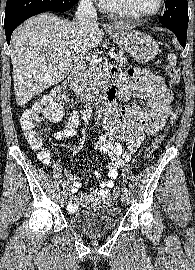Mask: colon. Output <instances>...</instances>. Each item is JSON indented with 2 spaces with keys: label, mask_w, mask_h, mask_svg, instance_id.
Masks as SVG:
<instances>
[{
  "label": "colon",
  "mask_w": 195,
  "mask_h": 270,
  "mask_svg": "<svg viewBox=\"0 0 195 270\" xmlns=\"http://www.w3.org/2000/svg\"><path fill=\"white\" fill-rule=\"evenodd\" d=\"M167 75H168L170 82L172 84H178L180 82L181 75H180V71L178 70V68L172 67V66L168 67L167 68ZM68 89H69L68 86L67 87H59V88L55 89L52 92V94L50 95V97L43 103V105H46L49 102H53V101L65 100L66 96H67ZM40 107H41V105L25 111L24 114L22 115V118H21L22 130L24 131L29 143L35 148H40L42 145V137L40 135V131L38 128ZM180 114H181V107H180V105H178L170 117L169 124L170 125L176 124V122L179 120ZM163 138H164L163 134H161L155 138L152 145L145 152L146 159L151 157L154 150L162 142ZM41 158L44 161H48L49 154L47 152L43 151L41 153ZM120 193H121L120 188H115L113 191L114 197H119Z\"/></svg>",
  "instance_id": "1"
}]
</instances>
